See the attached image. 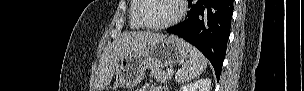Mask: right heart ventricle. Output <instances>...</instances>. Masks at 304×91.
<instances>
[{"label":"right heart ventricle","mask_w":304,"mask_h":91,"mask_svg":"<svg viewBox=\"0 0 304 91\" xmlns=\"http://www.w3.org/2000/svg\"><path fill=\"white\" fill-rule=\"evenodd\" d=\"M138 0H133L129 9V23L132 29H141L143 26L137 19Z\"/></svg>","instance_id":"1"}]
</instances>
